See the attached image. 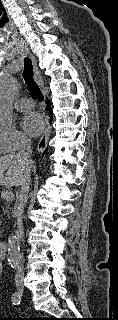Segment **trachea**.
<instances>
[{
  "label": "trachea",
  "instance_id": "1",
  "mask_svg": "<svg viewBox=\"0 0 118 320\" xmlns=\"http://www.w3.org/2000/svg\"><path fill=\"white\" fill-rule=\"evenodd\" d=\"M33 65L32 61L29 58L24 59V71H23V78L25 80V83L28 87V90L30 92V95L37 99L38 101H42L44 99L43 94L35 82L33 78Z\"/></svg>",
  "mask_w": 118,
  "mask_h": 320
}]
</instances>
